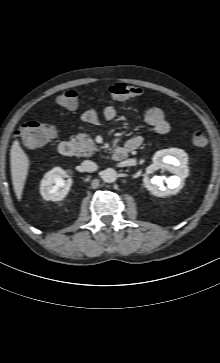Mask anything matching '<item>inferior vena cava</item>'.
Returning a JSON list of instances; mask_svg holds the SVG:
<instances>
[{"instance_id": "1", "label": "inferior vena cava", "mask_w": 220, "mask_h": 363, "mask_svg": "<svg viewBox=\"0 0 220 363\" xmlns=\"http://www.w3.org/2000/svg\"><path fill=\"white\" fill-rule=\"evenodd\" d=\"M81 168L85 172H94L98 169V166L93 161L85 160L81 163Z\"/></svg>"}]
</instances>
